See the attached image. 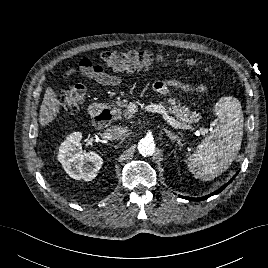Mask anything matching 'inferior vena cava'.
<instances>
[{
	"mask_svg": "<svg viewBox=\"0 0 268 268\" xmlns=\"http://www.w3.org/2000/svg\"><path fill=\"white\" fill-rule=\"evenodd\" d=\"M125 130L119 126H111L105 131V136L108 140H119L124 135Z\"/></svg>",
	"mask_w": 268,
	"mask_h": 268,
	"instance_id": "inferior-vena-cava-1",
	"label": "inferior vena cava"
}]
</instances>
